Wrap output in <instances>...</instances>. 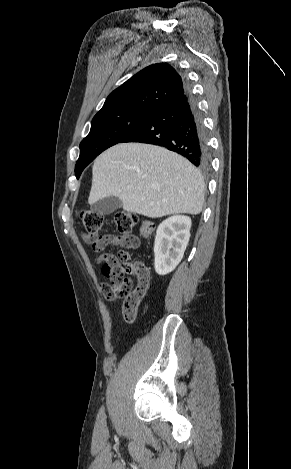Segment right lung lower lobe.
<instances>
[{
  "instance_id": "98d812e1",
  "label": "right lung lower lobe",
  "mask_w": 291,
  "mask_h": 469,
  "mask_svg": "<svg viewBox=\"0 0 291 469\" xmlns=\"http://www.w3.org/2000/svg\"><path fill=\"white\" fill-rule=\"evenodd\" d=\"M161 105L120 143L140 142L163 146L205 170L210 164L207 133L190 86Z\"/></svg>"
}]
</instances>
